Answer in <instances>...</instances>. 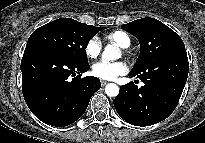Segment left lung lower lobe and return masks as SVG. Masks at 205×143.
<instances>
[{
    "instance_id": "left-lung-lower-lobe-1",
    "label": "left lung lower lobe",
    "mask_w": 205,
    "mask_h": 143,
    "mask_svg": "<svg viewBox=\"0 0 205 143\" xmlns=\"http://www.w3.org/2000/svg\"><path fill=\"white\" fill-rule=\"evenodd\" d=\"M186 49L158 58L145 71L131 73L144 86L133 82L120 87L114 107L122 119L135 126H150L166 119L176 108L188 77Z\"/></svg>"
}]
</instances>
